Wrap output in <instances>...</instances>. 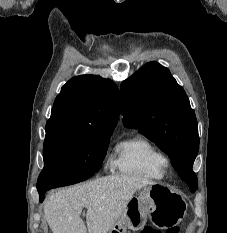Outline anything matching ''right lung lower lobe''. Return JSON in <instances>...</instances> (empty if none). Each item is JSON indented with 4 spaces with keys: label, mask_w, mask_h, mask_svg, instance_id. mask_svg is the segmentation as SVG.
Segmentation results:
<instances>
[{
    "label": "right lung lower lobe",
    "mask_w": 227,
    "mask_h": 233,
    "mask_svg": "<svg viewBox=\"0 0 227 233\" xmlns=\"http://www.w3.org/2000/svg\"><path fill=\"white\" fill-rule=\"evenodd\" d=\"M50 190V189H47V190H39V196H40V202H43L44 200V197H45V193Z\"/></svg>",
    "instance_id": "1"
}]
</instances>
